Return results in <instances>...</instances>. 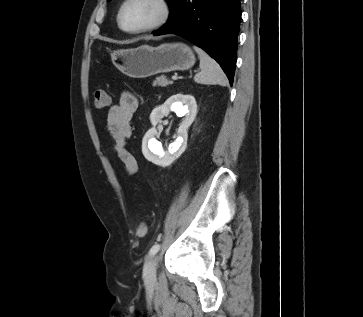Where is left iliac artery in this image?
<instances>
[{"instance_id": "44dca946", "label": "left iliac artery", "mask_w": 363, "mask_h": 317, "mask_svg": "<svg viewBox=\"0 0 363 317\" xmlns=\"http://www.w3.org/2000/svg\"><path fill=\"white\" fill-rule=\"evenodd\" d=\"M160 247V244H154L149 251V258L153 257L160 250Z\"/></svg>"}]
</instances>
